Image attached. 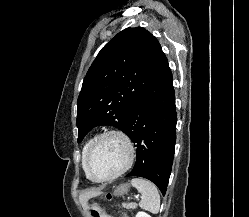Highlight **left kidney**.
Returning <instances> with one entry per match:
<instances>
[{
	"mask_svg": "<svg viewBox=\"0 0 249 217\" xmlns=\"http://www.w3.org/2000/svg\"><path fill=\"white\" fill-rule=\"evenodd\" d=\"M135 217H151L149 214H147L146 212H138L137 215Z\"/></svg>",
	"mask_w": 249,
	"mask_h": 217,
	"instance_id": "5707ae66",
	"label": "left kidney"
}]
</instances>
